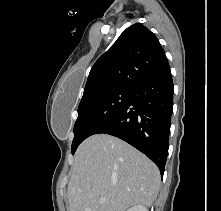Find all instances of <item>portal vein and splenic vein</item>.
Masks as SVG:
<instances>
[{"label": "portal vein and splenic vein", "instance_id": "1", "mask_svg": "<svg viewBox=\"0 0 221 211\" xmlns=\"http://www.w3.org/2000/svg\"><path fill=\"white\" fill-rule=\"evenodd\" d=\"M106 201H107L106 198H100L99 200L100 203H105Z\"/></svg>", "mask_w": 221, "mask_h": 211}]
</instances>
